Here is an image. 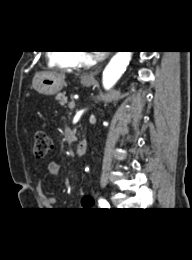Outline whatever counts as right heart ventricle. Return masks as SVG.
<instances>
[{
    "label": "right heart ventricle",
    "instance_id": "e07e8e85",
    "mask_svg": "<svg viewBox=\"0 0 192 260\" xmlns=\"http://www.w3.org/2000/svg\"><path fill=\"white\" fill-rule=\"evenodd\" d=\"M49 62L60 68L66 69L75 68L79 64L77 53L68 50L51 52L49 54Z\"/></svg>",
    "mask_w": 192,
    "mask_h": 260
}]
</instances>
